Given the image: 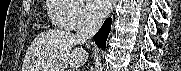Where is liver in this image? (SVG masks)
<instances>
[{"label":"liver","mask_w":181,"mask_h":71,"mask_svg":"<svg viewBox=\"0 0 181 71\" xmlns=\"http://www.w3.org/2000/svg\"><path fill=\"white\" fill-rule=\"evenodd\" d=\"M74 34L47 31L39 34L26 52L22 71H64L69 65L78 70L88 53L81 47Z\"/></svg>","instance_id":"1"}]
</instances>
